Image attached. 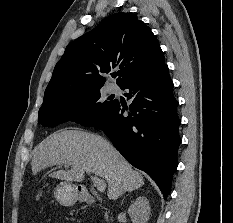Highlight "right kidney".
<instances>
[{
    "label": "right kidney",
    "mask_w": 233,
    "mask_h": 223,
    "mask_svg": "<svg viewBox=\"0 0 233 223\" xmlns=\"http://www.w3.org/2000/svg\"><path fill=\"white\" fill-rule=\"evenodd\" d=\"M128 213L132 223H147L151 215L147 197H144V195L136 197L135 201L128 207Z\"/></svg>",
    "instance_id": "obj_1"
}]
</instances>
